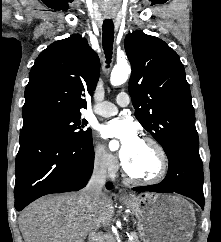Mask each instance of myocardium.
<instances>
[{"instance_id":"f54148a6","label":"myocardium","mask_w":221,"mask_h":242,"mask_svg":"<svg viewBox=\"0 0 221 242\" xmlns=\"http://www.w3.org/2000/svg\"><path fill=\"white\" fill-rule=\"evenodd\" d=\"M141 141L149 144L153 148V150L156 154V157L158 159L157 172L150 177L137 176V175H135V174H133L129 171V169L127 168L124 161L122 163L123 171H124L126 177L130 181L140 183V184H155V183H158L166 176L167 171H168L169 162H168L167 154H166L164 148L162 147V145L157 140H155L154 138L146 136V137H143L141 139Z\"/></svg>"}]
</instances>
